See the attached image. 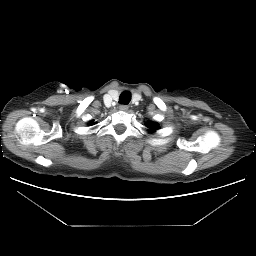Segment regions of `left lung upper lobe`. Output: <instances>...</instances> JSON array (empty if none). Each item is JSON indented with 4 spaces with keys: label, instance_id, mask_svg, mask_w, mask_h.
<instances>
[{
    "label": "left lung upper lobe",
    "instance_id": "5c2ea615",
    "mask_svg": "<svg viewBox=\"0 0 256 256\" xmlns=\"http://www.w3.org/2000/svg\"><path fill=\"white\" fill-rule=\"evenodd\" d=\"M151 131H154V130H157L159 129V126L157 123H154L152 121H148L146 124H145Z\"/></svg>",
    "mask_w": 256,
    "mask_h": 256
}]
</instances>
